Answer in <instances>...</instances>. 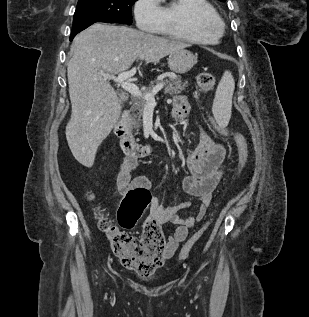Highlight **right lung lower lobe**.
Listing matches in <instances>:
<instances>
[{"instance_id": "obj_1", "label": "right lung lower lobe", "mask_w": 309, "mask_h": 317, "mask_svg": "<svg viewBox=\"0 0 309 317\" xmlns=\"http://www.w3.org/2000/svg\"><path fill=\"white\" fill-rule=\"evenodd\" d=\"M98 22V21H86V22H82L80 24H77L75 26H72V31H71V35H70V41L73 40V38L76 36L77 33H79L80 31L86 29L87 27H89L90 25H92L93 23Z\"/></svg>"}]
</instances>
